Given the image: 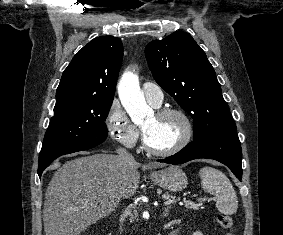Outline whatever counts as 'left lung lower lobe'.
Masks as SVG:
<instances>
[{
	"label": "left lung lower lobe",
	"instance_id": "0a47b994",
	"mask_svg": "<svg viewBox=\"0 0 283 235\" xmlns=\"http://www.w3.org/2000/svg\"><path fill=\"white\" fill-rule=\"evenodd\" d=\"M198 158L217 160L242 178V151L236 132L196 139L175 155L157 161L178 165Z\"/></svg>",
	"mask_w": 283,
	"mask_h": 235
}]
</instances>
